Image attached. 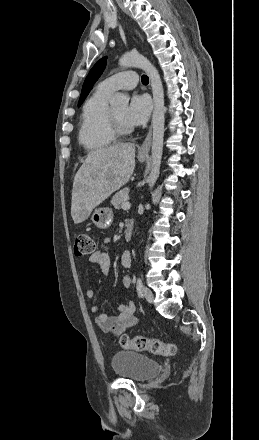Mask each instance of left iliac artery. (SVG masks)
<instances>
[{
    "mask_svg": "<svg viewBox=\"0 0 259 440\" xmlns=\"http://www.w3.org/2000/svg\"><path fill=\"white\" fill-rule=\"evenodd\" d=\"M136 288H137L138 295L141 297L143 295L142 294L143 293V283L140 278L137 279Z\"/></svg>",
    "mask_w": 259,
    "mask_h": 440,
    "instance_id": "left-iliac-artery-1",
    "label": "left iliac artery"
}]
</instances>
